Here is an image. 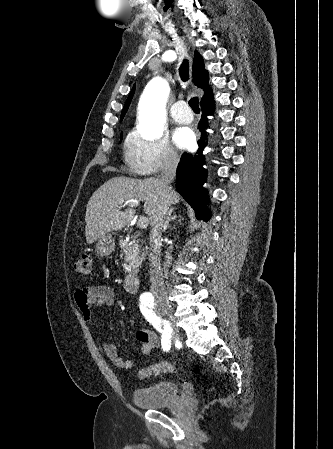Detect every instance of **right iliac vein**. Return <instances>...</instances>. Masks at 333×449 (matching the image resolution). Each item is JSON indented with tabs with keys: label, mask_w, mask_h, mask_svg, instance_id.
<instances>
[{
	"label": "right iliac vein",
	"mask_w": 333,
	"mask_h": 449,
	"mask_svg": "<svg viewBox=\"0 0 333 449\" xmlns=\"http://www.w3.org/2000/svg\"><path fill=\"white\" fill-rule=\"evenodd\" d=\"M160 311H161V313L163 315L170 316L171 312H172V309H171V306L168 303H161L160 304ZM171 332H172V338L174 340L179 339V332H178L177 329H175V328L173 330L171 329Z\"/></svg>",
	"instance_id": "63e3f726"
}]
</instances>
